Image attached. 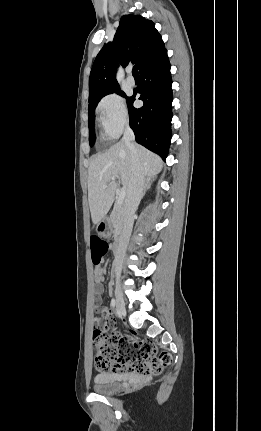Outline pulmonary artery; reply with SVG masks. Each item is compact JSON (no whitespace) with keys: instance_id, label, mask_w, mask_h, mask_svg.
<instances>
[{"instance_id":"e3ab8cb5","label":"pulmonary artery","mask_w":261,"mask_h":431,"mask_svg":"<svg viewBox=\"0 0 261 431\" xmlns=\"http://www.w3.org/2000/svg\"><path fill=\"white\" fill-rule=\"evenodd\" d=\"M127 83H128L130 86H133V85H135V79H134L131 75H129V76L127 77Z\"/></svg>"}]
</instances>
